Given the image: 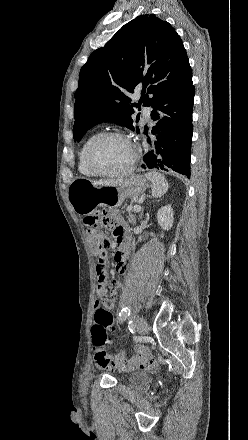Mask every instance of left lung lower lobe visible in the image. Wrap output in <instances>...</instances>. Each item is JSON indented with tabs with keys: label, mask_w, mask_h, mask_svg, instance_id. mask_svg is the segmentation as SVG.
<instances>
[{
	"label": "left lung lower lobe",
	"mask_w": 248,
	"mask_h": 440,
	"mask_svg": "<svg viewBox=\"0 0 248 440\" xmlns=\"http://www.w3.org/2000/svg\"><path fill=\"white\" fill-rule=\"evenodd\" d=\"M194 94L195 87L191 80L173 89L156 105L155 109L167 116L156 123L158 127L152 129L158 141L154 143L153 150L144 156V169L173 171L190 178ZM158 115L153 111L152 119L158 120Z\"/></svg>",
	"instance_id": "left-lung-lower-lobe-1"
}]
</instances>
